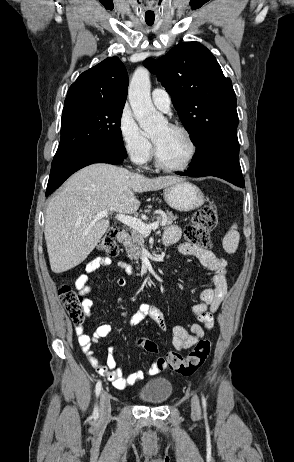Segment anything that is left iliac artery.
<instances>
[{"instance_id": "44dca946", "label": "left iliac artery", "mask_w": 294, "mask_h": 462, "mask_svg": "<svg viewBox=\"0 0 294 462\" xmlns=\"http://www.w3.org/2000/svg\"><path fill=\"white\" fill-rule=\"evenodd\" d=\"M202 403H203V407L206 408V399L204 396H202Z\"/></svg>"}]
</instances>
